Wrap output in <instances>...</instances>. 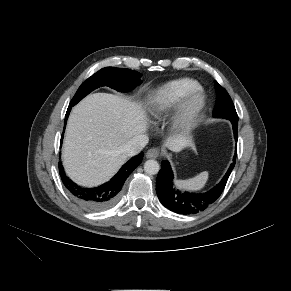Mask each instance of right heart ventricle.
Returning <instances> with one entry per match:
<instances>
[{"label": "right heart ventricle", "instance_id": "right-heart-ventricle-1", "mask_svg": "<svg viewBox=\"0 0 291 291\" xmlns=\"http://www.w3.org/2000/svg\"><path fill=\"white\" fill-rule=\"evenodd\" d=\"M198 81L180 78L156 88L149 97V111L154 117H161L176 108L193 90L199 88Z\"/></svg>", "mask_w": 291, "mask_h": 291}]
</instances>
